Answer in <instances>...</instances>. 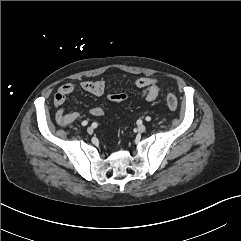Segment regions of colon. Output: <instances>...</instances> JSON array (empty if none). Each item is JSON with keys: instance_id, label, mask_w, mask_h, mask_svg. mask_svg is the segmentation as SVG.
I'll return each mask as SVG.
<instances>
[{"instance_id": "1", "label": "colon", "mask_w": 241, "mask_h": 241, "mask_svg": "<svg viewBox=\"0 0 241 241\" xmlns=\"http://www.w3.org/2000/svg\"><path fill=\"white\" fill-rule=\"evenodd\" d=\"M126 99V95L123 93H116L110 96V100L114 102H121ZM166 104L170 110H176L178 107V100L175 95L169 93L166 97Z\"/></svg>"}]
</instances>
